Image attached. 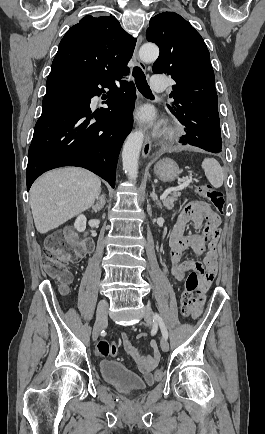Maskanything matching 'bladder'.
Masks as SVG:
<instances>
[{
  "label": "bladder",
  "mask_w": 265,
  "mask_h": 434,
  "mask_svg": "<svg viewBox=\"0 0 265 434\" xmlns=\"http://www.w3.org/2000/svg\"><path fill=\"white\" fill-rule=\"evenodd\" d=\"M99 371L107 383L121 391H139L145 388V383L135 373L117 361H101Z\"/></svg>",
  "instance_id": "1"
}]
</instances>
